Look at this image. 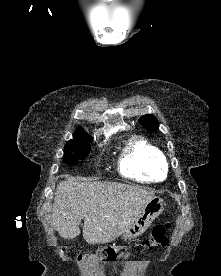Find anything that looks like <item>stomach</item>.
Listing matches in <instances>:
<instances>
[{
    "label": "stomach",
    "instance_id": "obj_1",
    "mask_svg": "<svg viewBox=\"0 0 221 276\" xmlns=\"http://www.w3.org/2000/svg\"><path fill=\"white\" fill-rule=\"evenodd\" d=\"M164 200L160 197H153L144 205L140 215L130 225L126 232L121 237L123 240H131L142 235L151 225L155 218H157L164 210Z\"/></svg>",
    "mask_w": 221,
    "mask_h": 276
}]
</instances>
